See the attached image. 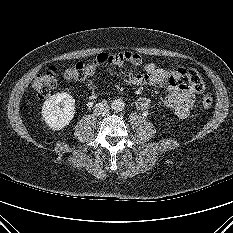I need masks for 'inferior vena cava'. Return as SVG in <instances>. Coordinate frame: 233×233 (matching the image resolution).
Segmentation results:
<instances>
[{
  "instance_id": "inferior-vena-cava-1",
  "label": "inferior vena cava",
  "mask_w": 233,
  "mask_h": 233,
  "mask_svg": "<svg viewBox=\"0 0 233 233\" xmlns=\"http://www.w3.org/2000/svg\"><path fill=\"white\" fill-rule=\"evenodd\" d=\"M94 108V113L97 116H104L109 113V105L106 102H99L95 104Z\"/></svg>"
}]
</instances>
